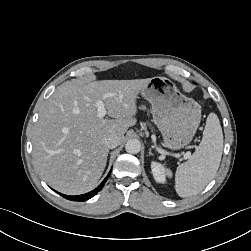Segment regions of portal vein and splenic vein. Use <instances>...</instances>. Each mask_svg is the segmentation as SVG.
<instances>
[{
    "mask_svg": "<svg viewBox=\"0 0 251 251\" xmlns=\"http://www.w3.org/2000/svg\"><path fill=\"white\" fill-rule=\"evenodd\" d=\"M110 96H111V94H105L103 96V99H105L107 97H110ZM95 104H96V107H97V115H98V117L99 118H103L106 115L107 111L105 109V106H104V103H103L102 99L96 101ZM190 156H191L190 152H187L184 155V158L187 159V158H190Z\"/></svg>",
    "mask_w": 251,
    "mask_h": 251,
    "instance_id": "18ae733b",
    "label": "portal vein and splenic vein"
}]
</instances>
